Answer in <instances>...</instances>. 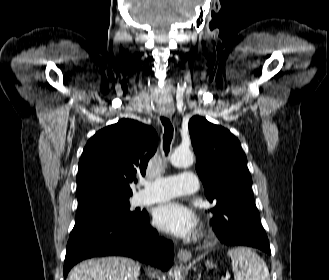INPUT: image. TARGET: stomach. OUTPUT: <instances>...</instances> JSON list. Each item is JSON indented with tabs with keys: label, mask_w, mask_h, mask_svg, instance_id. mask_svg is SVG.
Masks as SVG:
<instances>
[{
	"label": "stomach",
	"mask_w": 329,
	"mask_h": 280,
	"mask_svg": "<svg viewBox=\"0 0 329 280\" xmlns=\"http://www.w3.org/2000/svg\"><path fill=\"white\" fill-rule=\"evenodd\" d=\"M206 266L209 267V268H210V267H213V263L210 262V261H206Z\"/></svg>",
	"instance_id": "stomach-1"
}]
</instances>
